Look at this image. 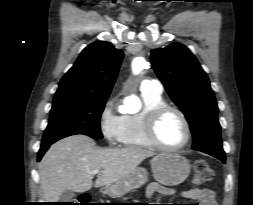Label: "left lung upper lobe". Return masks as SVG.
<instances>
[{
    "label": "left lung upper lobe",
    "mask_w": 253,
    "mask_h": 205,
    "mask_svg": "<svg viewBox=\"0 0 253 205\" xmlns=\"http://www.w3.org/2000/svg\"><path fill=\"white\" fill-rule=\"evenodd\" d=\"M151 62L168 94L185 114L194 150L225 157L218 106L206 73L190 50L180 43L153 49Z\"/></svg>",
    "instance_id": "obj_1"
}]
</instances>
